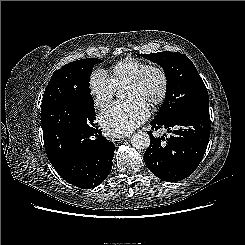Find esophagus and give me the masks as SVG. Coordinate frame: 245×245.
<instances>
[{"mask_svg": "<svg viewBox=\"0 0 245 245\" xmlns=\"http://www.w3.org/2000/svg\"><path fill=\"white\" fill-rule=\"evenodd\" d=\"M123 141H124V138H121V137H117V138L113 139V142L116 145L122 143Z\"/></svg>", "mask_w": 245, "mask_h": 245, "instance_id": "esophagus-1", "label": "esophagus"}]
</instances>
